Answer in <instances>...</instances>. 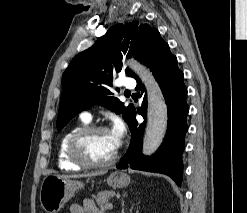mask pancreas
I'll list each match as a JSON object with an SVG mask.
<instances>
[{
  "instance_id": "cf45deb5",
  "label": "pancreas",
  "mask_w": 247,
  "mask_h": 213,
  "mask_svg": "<svg viewBox=\"0 0 247 213\" xmlns=\"http://www.w3.org/2000/svg\"><path fill=\"white\" fill-rule=\"evenodd\" d=\"M115 195L113 191H102L98 192L96 195H93V199L96 201L97 205L101 209H106V205L108 204L110 198Z\"/></svg>"
}]
</instances>
